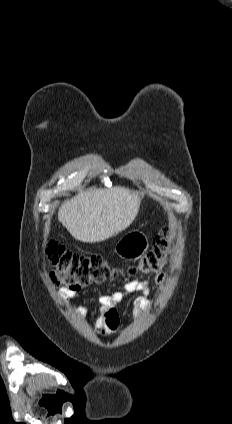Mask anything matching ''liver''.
<instances>
[{
  "label": "liver",
  "instance_id": "obj_1",
  "mask_svg": "<svg viewBox=\"0 0 232 424\" xmlns=\"http://www.w3.org/2000/svg\"><path fill=\"white\" fill-rule=\"evenodd\" d=\"M139 207L138 194L125 187L89 188L61 205L58 220L76 240L95 243L125 230Z\"/></svg>",
  "mask_w": 232,
  "mask_h": 424
}]
</instances>
